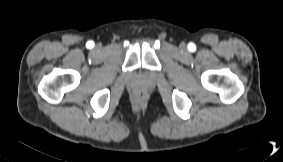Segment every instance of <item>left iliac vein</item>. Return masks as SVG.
<instances>
[{
  "label": "left iliac vein",
  "instance_id": "obj_1",
  "mask_svg": "<svg viewBox=\"0 0 283 162\" xmlns=\"http://www.w3.org/2000/svg\"><path fill=\"white\" fill-rule=\"evenodd\" d=\"M180 48L181 49H186V45L184 43H181Z\"/></svg>",
  "mask_w": 283,
  "mask_h": 162
}]
</instances>
